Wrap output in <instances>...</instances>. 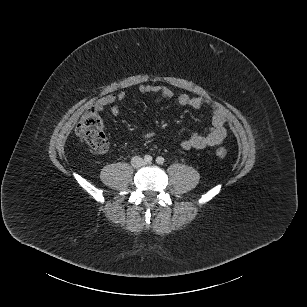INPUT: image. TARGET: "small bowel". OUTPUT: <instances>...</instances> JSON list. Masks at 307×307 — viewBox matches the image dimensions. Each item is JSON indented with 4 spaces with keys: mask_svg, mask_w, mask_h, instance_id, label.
<instances>
[{
    "mask_svg": "<svg viewBox=\"0 0 307 307\" xmlns=\"http://www.w3.org/2000/svg\"><path fill=\"white\" fill-rule=\"evenodd\" d=\"M139 91L143 94H156L164 98H172L174 96L173 91L166 86L159 85H144L139 88ZM126 98L125 92L117 94H108L100 98L95 103L97 110H102L105 107H110V111L113 115L119 114V103ZM177 101L181 106L190 107L193 109H204L208 107V103L201 97H192L187 94H180L177 96ZM211 111V127L207 134L193 133L188 138L182 140L179 146L184 150H202L207 147H215L221 144L226 135L227 120L224 114L217 107H210ZM153 137V133L148 132L143 135V138L148 140Z\"/></svg>",
    "mask_w": 307,
    "mask_h": 307,
    "instance_id": "small-bowel-1",
    "label": "small bowel"
}]
</instances>
